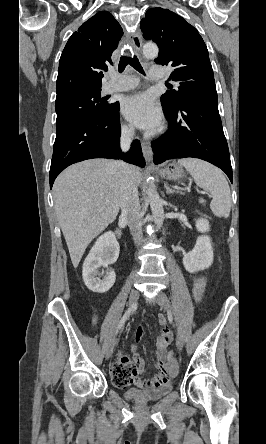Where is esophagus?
<instances>
[{
  "instance_id": "34e87169",
  "label": "esophagus",
  "mask_w": 266,
  "mask_h": 444,
  "mask_svg": "<svg viewBox=\"0 0 266 444\" xmlns=\"http://www.w3.org/2000/svg\"><path fill=\"white\" fill-rule=\"evenodd\" d=\"M132 45L136 51H140L142 47V37L140 33H135L131 39ZM143 156L145 161L152 166L153 152L151 149V145L147 141H143L141 143Z\"/></svg>"
}]
</instances>
